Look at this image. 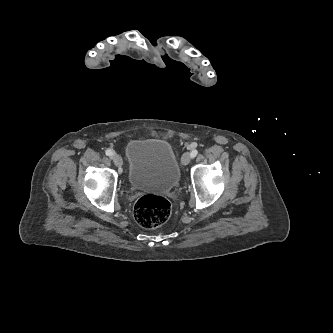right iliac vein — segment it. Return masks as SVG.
<instances>
[{
  "instance_id": "right-iliac-vein-1",
  "label": "right iliac vein",
  "mask_w": 333,
  "mask_h": 333,
  "mask_svg": "<svg viewBox=\"0 0 333 333\" xmlns=\"http://www.w3.org/2000/svg\"><path fill=\"white\" fill-rule=\"evenodd\" d=\"M111 159L113 160L114 164L118 167L122 166L123 160L120 155L118 154H113Z\"/></svg>"
}]
</instances>
